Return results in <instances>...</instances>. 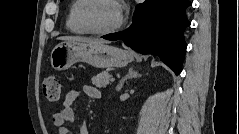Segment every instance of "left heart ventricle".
<instances>
[{"mask_svg":"<svg viewBox=\"0 0 239 134\" xmlns=\"http://www.w3.org/2000/svg\"><path fill=\"white\" fill-rule=\"evenodd\" d=\"M120 10L112 1H97L89 11L91 24L98 29H107L117 23Z\"/></svg>","mask_w":239,"mask_h":134,"instance_id":"1","label":"left heart ventricle"}]
</instances>
